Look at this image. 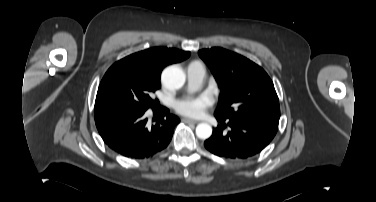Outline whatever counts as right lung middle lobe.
Here are the masks:
<instances>
[{"label": "right lung middle lobe", "instance_id": "right-lung-middle-lobe-1", "mask_svg": "<svg viewBox=\"0 0 376 202\" xmlns=\"http://www.w3.org/2000/svg\"><path fill=\"white\" fill-rule=\"evenodd\" d=\"M160 79L130 62L118 61L104 75L95 101V114L109 110L139 111L154 107L151 95Z\"/></svg>", "mask_w": 376, "mask_h": 202}]
</instances>
